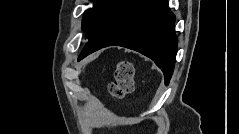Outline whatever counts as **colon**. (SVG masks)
<instances>
[{"mask_svg":"<svg viewBox=\"0 0 239 134\" xmlns=\"http://www.w3.org/2000/svg\"><path fill=\"white\" fill-rule=\"evenodd\" d=\"M134 67L131 62L121 60L117 63L114 80L110 83L109 95L115 99H121L133 91Z\"/></svg>","mask_w":239,"mask_h":134,"instance_id":"1","label":"colon"}]
</instances>
